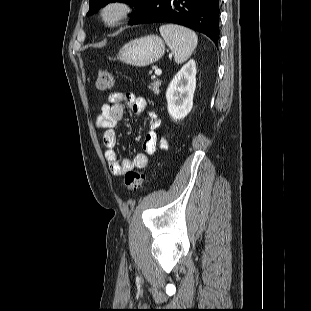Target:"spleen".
I'll return each mask as SVG.
<instances>
[{"instance_id": "1", "label": "spleen", "mask_w": 311, "mask_h": 311, "mask_svg": "<svg viewBox=\"0 0 311 311\" xmlns=\"http://www.w3.org/2000/svg\"><path fill=\"white\" fill-rule=\"evenodd\" d=\"M159 31L178 64L185 62L197 46L196 33L186 27L167 24L162 25Z\"/></svg>"}]
</instances>
